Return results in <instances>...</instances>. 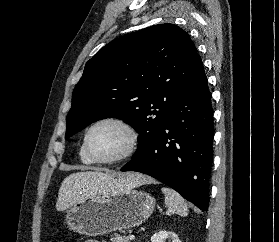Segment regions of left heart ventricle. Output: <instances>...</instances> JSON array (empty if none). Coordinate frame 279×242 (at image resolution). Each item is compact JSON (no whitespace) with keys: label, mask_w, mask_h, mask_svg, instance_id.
I'll return each mask as SVG.
<instances>
[{"label":"left heart ventricle","mask_w":279,"mask_h":242,"mask_svg":"<svg viewBox=\"0 0 279 242\" xmlns=\"http://www.w3.org/2000/svg\"><path fill=\"white\" fill-rule=\"evenodd\" d=\"M126 132L114 124H102L95 128L89 138L91 153L99 159H108L121 154L127 146Z\"/></svg>","instance_id":"obj_1"}]
</instances>
